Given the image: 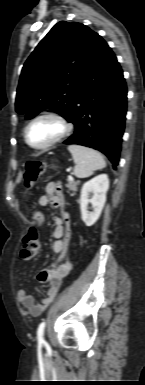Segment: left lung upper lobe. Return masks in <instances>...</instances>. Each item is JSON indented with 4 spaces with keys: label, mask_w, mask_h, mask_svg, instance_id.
<instances>
[{
    "label": "left lung upper lobe",
    "mask_w": 145,
    "mask_h": 385,
    "mask_svg": "<svg viewBox=\"0 0 145 385\" xmlns=\"http://www.w3.org/2000/svg\"><path fill=\"white\" fill-rule=\"evenodd\" d=\"M97 35L81 23H57L24 64L16 112L31 119L46 108L56 109L70 121Z\"/></svg>",
    "instance_id": "left-lung-upper-lobe-1"
}]
</instances>
